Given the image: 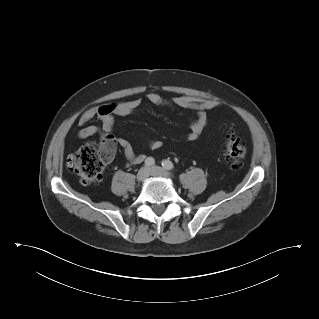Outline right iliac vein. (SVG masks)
I'll return each instance as SVG.
<instances>
[{
	"mask_svg": "<svg viewBox=\"0 0 319 319\" xmlns=\"http://www.w3.org/2000/svg\"><path fill=\"white\" fill-rule=\"evenodd\" d=\"M149 176V169L147 167H142L137 175H136V179L139 182H143L144 180L147 179V177Z\"/></svg>",
	"mask_w": 319,
	"mask_h": 319,
	"instance_id": "obj_1",
	"label": "right iliac vein"
}]
</instances>
